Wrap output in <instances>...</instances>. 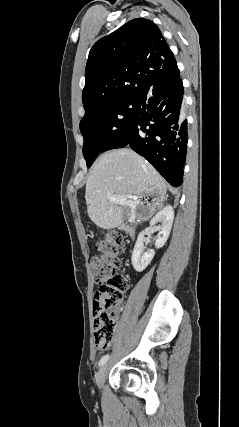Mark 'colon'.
Masks as SVG:
<instances>
[{"instance_id":"5ec220e1","label":"colon","mask_w":239,"mask_h":427,"mask_svg":"<svg viewBox=\"0 0 239 427\" xmlns=\"http://www.w3.org/2000/svg\"><path fill=\"white\" fill-rule=\"evenodd\" d=\"M123 235L111 232L97 244L98 254L91 260L94 282L99 285L93 301L95 345L99 350L110 347L117 317L128 288L121 271Z\"/></svg>"}]
</instances>
